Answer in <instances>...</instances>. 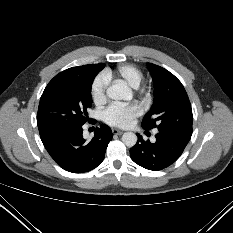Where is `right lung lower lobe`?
Instances as JSON below:
<instances>
[{
	"instance_id": "1",
	"label": "right lung lower lobe",
	"mask_w": 233,
	"mask_h": 233,
	"mask_svg": "<svg viewBox=\"0 0 233 233\" xmlns=\"http://www.w3.org/2000/svg\"><path fill=\"white\" fill-rule=\"evenodd\" d=\"M82 133V126H77L50 130L40 134V137L50 156L61 168L72 173H84L102 163L112 139V131L103 124L96 129L89 142H86Z\"/></svg>"
}]
</instances>
